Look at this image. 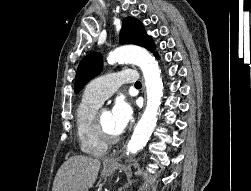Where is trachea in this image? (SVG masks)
<instances>
[{
	"label": "trachea",
	"instance_id": "obj_1",
	"mask_svg": "<svg viewBox=\"0 0 251 191\" xmlns=\"http://www.w3.org/2000/svg\"><path fill=\"white\" fill-rule=\"evenodd\" d=\"M135 86L137 87V86H141V82L140 81H136L135 82Z\"/></svg>",
	"mask_w": 251,
	"mask_h": 191
}]
</instances>
